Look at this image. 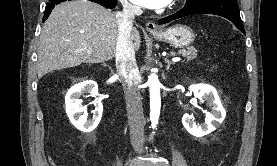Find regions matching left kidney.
Wrapping results in <instances>:
<instances>
[{
	"label": "left kidney",
	"instance_id": "1",
	"mask_svg": "<svg viewBox=\"0 0 277 166\" xmlns=\"http://www.w3.org/2000/svg\"><path fill=\"white\" fill-rule=\"evenodd\" d=\"M194 96L201 101H206L211 109L206 111L205 123L196 125L192 122L191 116L185 114L182 118L184 128L195 137H202L213 132L224 120L226 111L222 106L217 91L214 87L207 84H196L189 87Z\"/></svg>",
	"mask_w": 277,
	"mask_h": 166
}]
</instances>
